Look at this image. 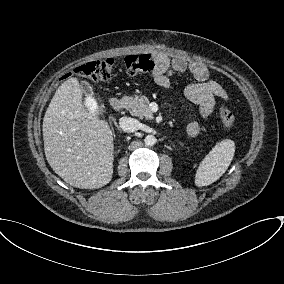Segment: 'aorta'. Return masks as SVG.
<instances>
[{"instance_id":"1","label":"aorta","mask_w":284,"mask_h":284,"mask_svg":"<svg viewBox=\"0 0 284 284\" xmlns=\"http://www.w3.org/2000/svg\"><path fill=\"white\" fill-rule=\"evenodd\" d=\"M144 142L147 146H153L156 143V138L153 135H147Z\"/></svg>"}]
</instances>
